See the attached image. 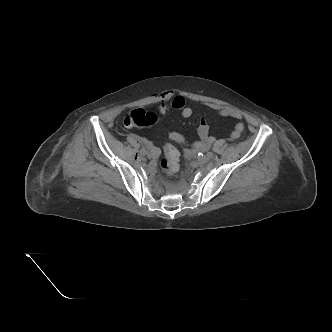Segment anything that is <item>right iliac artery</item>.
<instances>
[{
	"label": "right iliac artery",
	"mask_w": 332,
	"mask_h": 332,
	"mask_svg": "<svg viewBox=\"0 0 332 332\" xmlns=\"http://www.w3.org/2000/svg\"><path fill=\"white\" fill-rule=\"evenodd\" d=\"M141 146L149 148V145H148V143L146 141H141Z\"/></svg>",
	"instance_id": "82829eb1"
}]
</instances>
